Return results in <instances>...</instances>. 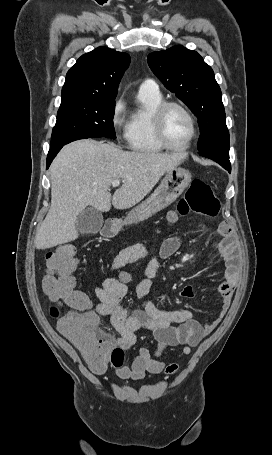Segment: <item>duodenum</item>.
I'll list each match as a JSON object with an SVG mask.
<instances>
[{
  "mask_svg": "<svg viewBox=\"0 0 272 455\" xmlns=\"http://www.w3.org/2000/svg\"><path fill=\"white\" fill-rule=\"evenodd\" d=\"M101 233L103 236L105 237H111L114 235L115 233V225L112 223V222H107L102 230H101Z\"/></svg>",
  "mask_w": 272,
  "mask_h": 455,
  "instance_id": "duodenum-1",
  "label": "duodenum"
}]
</instances>
